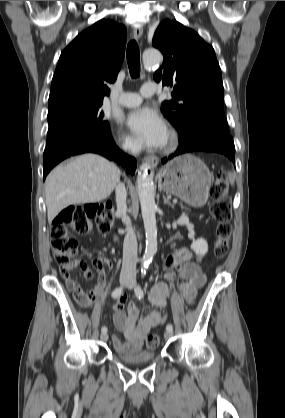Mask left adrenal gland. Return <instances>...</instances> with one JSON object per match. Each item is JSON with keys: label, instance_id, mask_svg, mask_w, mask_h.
<instances>
[{"label": "left adrenal gland", "instance_id": "a2214340", "mask_svg": "<svg viewBox=\"0 0 285 418\" xmlns=\"http://www.w3.org/2000/svg\"><path fill=\"white\" fill-rule=\"evenodd\" d=\"M163 199H164V204H167V205L171 206L172 208L174 207V205L165 196L163 197Z\"/></svg>", "mask_w": 285, "mask_h": 418}]
</instances>
